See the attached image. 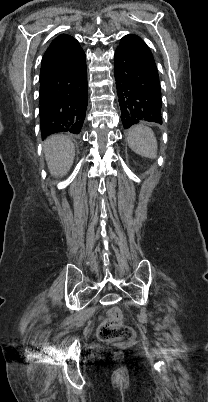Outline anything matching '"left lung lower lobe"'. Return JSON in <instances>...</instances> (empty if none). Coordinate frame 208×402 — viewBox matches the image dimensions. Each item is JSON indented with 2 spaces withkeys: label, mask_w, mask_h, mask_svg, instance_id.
<instances>
[{
  "label": "left lung lower lobe",
  "mask_w": 208,
  "mask_h": 402,
  "mask_svg": "<svg viewBox=\"0 0 208 402\" xmlns=\"http://www.w3.org/2000/svg\"><path fill=\"white\" fill-rule=\"evenodd\" d=\"M114 72L125 129L138 122L162 124L159 75L152 52L138 36H124L115 51Z\"/></svg>",
  "instance_id": "left-lung-lower-lobe-1"
}]
</instances>
